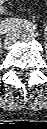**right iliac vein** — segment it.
Wrapping results in <instances>:
<instances>
[{
  "mask_svg": "<svg viewBox=\"0 0 47 129\" xmlns=\"http://www.w3.org/2000/svg\"><path fill=\"white\" fill-rule=\"evenodd\" d=\"M20 35V31H12L10 32L4 39V45L5 46H11L13 45L17 38L19 37Z\"/></svg>",
  "mask_w": 47,
  "mask_h": 129,
  "instance_id": "obj_1",
  "label": "right iliac vein"
}]
</instances>
